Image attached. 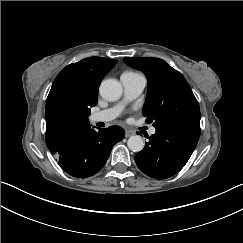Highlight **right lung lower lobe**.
I'll return each mask as SVG.
<instances>
[{
  "mask_svg": "<svg viewBox=\"0 0 243 243\" xmlns=\"http://www.w3.org/2000/svg\"><path fill=\"white\" fill-rule=\"evenodd\" d=\"M125 136L119 126L100 129L90 125L70 131L48 146L59 166L69 175L85 178L97 173L106 163L112 147Z\"/></svg>",
  "mask_w": 243,
  "mask_h": 243,
  "instance_id": "98d812e1",
  "label": "right lung lower lobe"
}]
</instances>
